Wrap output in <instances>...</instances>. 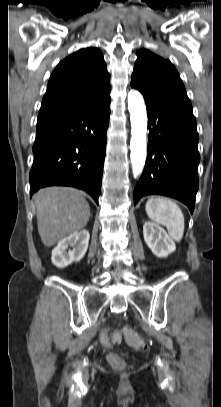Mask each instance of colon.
Here are the masks:
<instances>
[{
    "label": "colon",
    "instance_id": "colon-1",
    "mask_svg": "<svg viewBox=\"0 0 221 407\" xmlns=\"http://www.w3.org/2000/svg\"><path fill=\"white\" fill-rule=\"evenodd\" d=\"M125 338L128 344L137 349H146V341L140 337L133 329L123 326L119 330L109 331L105 329L100 334V342L105 347H111L114 343L119 342L122 338ZM108 361L112 367L121 369L125 366L123 359L116 353L108 355Z\"/></svg>",
    "mask_w": 221,
    "mask_h": 407
}]
</instances>
